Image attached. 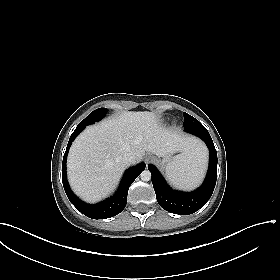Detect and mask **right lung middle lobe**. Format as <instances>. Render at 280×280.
Here are the masks:
<instances>
[{"instance_id":"obj_1","label":"right lung middle lobe","mask_w":280,"mask_h":280,"mask_svg":"<svg viewBox=\"0 0 280 280\" xmlns=\"http://www.w3.org/2000/svg\"><path fill=\"white\" fill-rule=\"evenodd\" d=\"M107 112L106 108H98L91 112L82 122L78 124L77 127H86L87 125L93 124L101 120Z\"/></svg>"}]
</instances>
